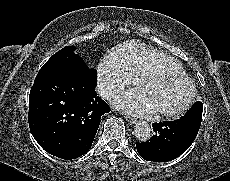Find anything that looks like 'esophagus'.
Instances as JSON below:
<instances>
[{
    "label": "esophagus",
    "instance_id": "obj_1",
    "mask_svg": "<svg viewBox=\"0 0 230 181\" xmlns=\"http://www.w3.org/2000/svg\"><path fill=\"white\" fill-rule=\"evenodd\" d=\"M124 117H125L126 121L131 123V124L136 122V119L131 117V116H129V115H125Z\"/></svg>",
    "mask_w": 230,
    "mask_h": 181
}]
</instances>
